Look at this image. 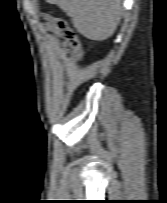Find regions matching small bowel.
I'll use <instances>...</instances> for the list:
<instances>
[{"label":"small bowel","instance_id":"c3829d8e","mask_svg":"<svg viewBox=\"0 0 167 203\" xmlns=\"http://www.w3.org/2000/svg\"><path fill=\"white\" fill-rule=\"evenodd\" d=\"M46 28L48 29V30H50V31H53L54 33H56V30H55V28H54V26L52 25V24H46ZM63 50L64 51H66L67 49H66V47H65V45H63Z\"/></svg>","mask_w":167,"mask_h":203}]
</instances>
